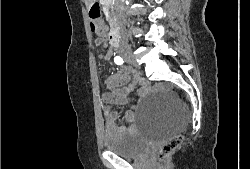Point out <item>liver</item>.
<instances>
[{"instance_id": "6515ba94", "label": "liver", "mask_w": 250, "mask_h": 169, "mask_svg": "<svg viewBox=\"0 0 250 169\" xmlns=\"http://www.w3.org/2000/svg\"><path fill=\"white\" fill-rule=\"evenodd\" d=\"M93 2H95V0H85V4H86L87 8H90V6H92Z\"/></svg>"}]
</instances>
